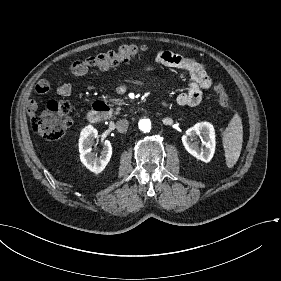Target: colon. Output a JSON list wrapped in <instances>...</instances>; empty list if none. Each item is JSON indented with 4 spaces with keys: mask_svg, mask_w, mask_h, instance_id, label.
Segmentation results:
<instances>
[{
    "mask_svg": "<svg viewBox=\"0 0 281 281\" xmlns=\"http://www.w3.org/2000/svg\"><path fill=\"white\" fill-rule=\"evenodd\" d=\"M145 50L146 47L144 45L121 46L116 51L91 57L86 62L77 61L75 63V71L82 72L85 69L83 63H86L89 68L97 71L115 67L140 57ZM215 92L218 95L219 103L222 107L231 106L232 100L222 85H216ZM71 123L72 115L69 104L64 100L49 101L42 112L37 114L32 121L36 133L46 141L60 139Z\"/></svg>",
    "mask_w": 281,
    "mask_h": 281,
    "instance_id": "1",
    "label": "colon"
}]
</instances>
